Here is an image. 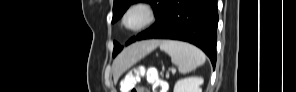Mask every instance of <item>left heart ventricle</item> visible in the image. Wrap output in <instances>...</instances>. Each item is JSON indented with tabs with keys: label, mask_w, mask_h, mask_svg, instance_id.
<instances>
[{
	"label": "left heart ventricle",
	"mask_w": 296,
	"mask_h": 92,
	"mask_svg": "<svg viewBox=\"0 0 296 92\" xmlns=\"http://www.w3.org/2000/svg\"><path fill=\"white\" fill-rule=\"evenodd\" d=\"M144 20V14L141 11H134L128 16L129 26H137Z\"/></svg>",
	"instance_id": "b2bd125f"
}]
</instances>
